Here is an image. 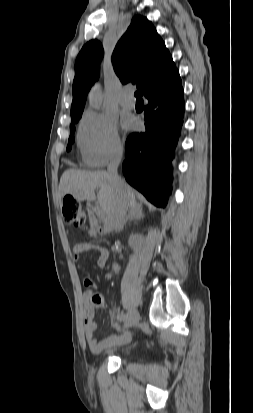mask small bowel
<instances>
[{"mask_svg":"<svg viewBox=\"0 0 253 413\" xmlns=\"http://www.w3.org/2000/svg\"><path fill=\"white\" fill-rule=\"evenodd\" d=\"M94 250L98 254L97 266L100 269L105 267L106 261L108 259V251L100 246L89 242H81L74 246L73 254L76 261V265L79 269L83 268L82 263L79 262L80 256L87 251ZM85 284L88 286V290L84 295V332L85 338L87 340L89 349L94 354H99L105 349L114 346L122 345L130 341L131 332L126 331L121 335H111L102 340H97L95 338V332L97 330V324L94 321L95 310L93 305L90 303L89 292L93 288L92 283L89 279L85 280ZM115 318V312H113V319ZM114 326L117 328V324L114 322Z\"/></svg>","mask_w":253,"mask_h":413,"instance_id":"obj_1","label":"small bowel"}]
</instances>
